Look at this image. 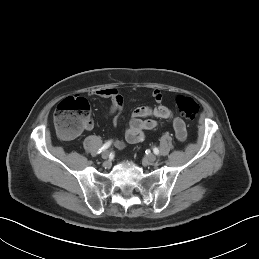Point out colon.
Segmentation results:
<instances>
[{
  "label": "colon",
  "mask_w": 259,
  "mask_h": 259,
  "mask_svg": "<svg viewBox=\"0 0 259 259\" xmlns=\"http://www.w3.org/2000/svg\"><path fill=\"white\" fill-rule=\"evenodd\" d=\"M176 106L181 115L190 120H193L199 112L197 102L188 96H177ZM90 122V105L82 97H68L61 101L55 110V129L66 139L77 137Z\"/></svg>",
  "instance_id": "colon-1"
}]
</instances>
